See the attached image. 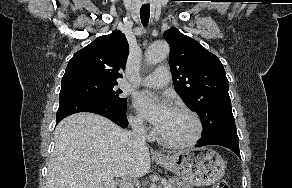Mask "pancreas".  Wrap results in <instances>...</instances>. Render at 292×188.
<instances>
[{"instance_id": "1", "label": "pancreas", "mask_w": 292, "mask_h": 188, "mask_svg": "<svg viewBox=\"0 0 292 188\" xmlns=\"http://www.w3.org/2000/svg\"><path fill=\"white\" fill-rule=\"evenodd\" d=\"M168 183L171 184V188H192L189 184L180 182L178 178L170 177Z\"/></svg>"}]
</instances>
